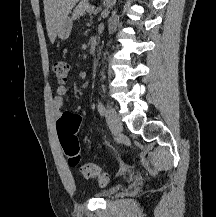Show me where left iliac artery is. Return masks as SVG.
I'll list each match as a JSON object with an SVG mask.
<instances>
[{
  "label": "left iliac artery",
  "instance_id": "left-iliac-artery-1",
  "mask_svg": "<svg viewBox=\"0 0 216 217\" xmlns=\"http://www.w3.org/2000/svg\"><path fill=\"white\" fill-rule=\"evenodd\" d=\"M97 109H98V112L101 115H104V113H105V107H104V104L101 101L98 102Z\"/></svg>",
  "mask_w": 216,
  "mask_h": 217
}]
</instances>
